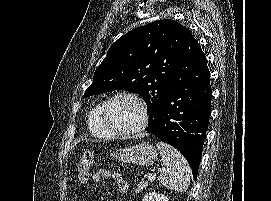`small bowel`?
Wrapping results in <instances>:
<instances>
[{
  "label": "small bowel",
  "instance_id": "c3829d8e",
  "mask_svg": "<svg viewBox=\"0 0 271 201\" xmlns=\"http://www.w3.org/2000/svg\"><path fill=\"white\" fill-rule=\"evenodd\" d=\"M101 178H109L114 181L117 190L120 193H125L128 190V182L120 174L110 172L108 170H101L93 177V182L97 183Z\"/></svg>",
  "mask_w": 271,
  "mask_h": 201
}]
</instances>
